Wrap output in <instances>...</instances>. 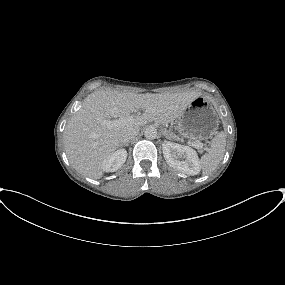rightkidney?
Segmentation results:
<instances>
[{
  "instance_id": "ca27d5eb",
  "label": "right kidney",
  "mask_w": 285,
  "mask_h": 285,
  "mask_svg": "<svg viewBox=\"0 0 285 285\" xmlns=\"http://www.w3.org/2000/svg\"><path fill=\"white\" fill-rule=\"evenodd\" d=\"M127 159V151L119 149L111 154L102 164V169L105 172H115L122 167Z\"/></svg>"
}]
</instances>
